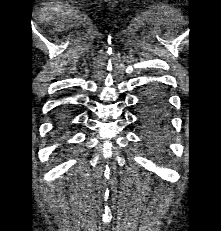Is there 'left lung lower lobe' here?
I'll return each mask as SVG.
<instances>
[{
  "label": "left lung lower lobe",
  "instance_id": "1",
  "mask_svg": "<svg viewBox=\"0 0 221 231\" xmlns=\"http://www.w3.org/2000/svg\"><path fill=\"white\" fill-rule=\"evenodd\" d=\"M150 93H159L161 95V97H162V94L160 93V91L158 89H153ZM162 99H163V97H162Z\"/></svg>",
  "mask_w": 221,
  "mask_h": 231
}]
</instances>
